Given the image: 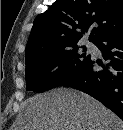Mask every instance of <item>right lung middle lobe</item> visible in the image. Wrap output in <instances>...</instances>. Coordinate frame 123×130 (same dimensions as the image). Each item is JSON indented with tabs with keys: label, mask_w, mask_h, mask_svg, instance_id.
<instances>
[{
	"label": "right lung middle lobe",
	"mask_w": 123,
	"mask_h": 130,
	"mask_svg": "<svg viewBox=\"0 0 123 130\" xmlns=\"http://www.w3.org/2000/svg\"><path fill=\"white\" fill-rule=\"evenodd\" d=\"M84 52L86 51L82 47ZM77 45L26 60V90L44 92L61 85L79 70L90 55L77 52Z\"/></svg>",
	"instance_id": "right-lung-middle-lobe-1"
}]
</instances>
